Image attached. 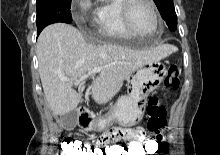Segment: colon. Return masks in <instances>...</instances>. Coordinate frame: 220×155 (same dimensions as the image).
Segmentation results:
<instances>
[{
  "label": "colon",
  "instance_id": "obj_1",
  "mask_svg": "<svg viewBox=\"0 0 220 155\" xmlns=\"http://www.w3.org/2000/svg\"><path fill=\"white\" fill-rule=\"evenodd\" d=\"M166 88L177 90L180 85L179 70L175 65L167 69L164 80ZM147 128L150 132L162 134L166 124V111L158 97H151L146 108ZM128 133L130 131H127ZM162 135H149L148 139L123 142V146L95 145L79 140H63V155H159ZM118 142V141H117Z\"/></svg>",
  "mask_w": 220,
  "mask_h": 155
}]
</instances>
